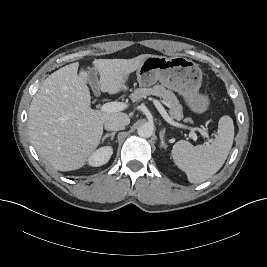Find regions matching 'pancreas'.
Listing matches in <instances>:
<instances>
[{
    "mask_svg": "<svg viewBox=\"0 0 267 267\" xmlns=\"http://www.w3.org/2000/svg\"><path fill=\"white\" fill-rule=\"evenodd\" d=\"M149 95L158 96L163 99L170 108L169 112L172 119H176L178 121L183 119L182 106L180 105L176 95L171 90H167L161 85H155L152 88H138L133 94H131V99L133 101H139ZM185 121L191 122V119L187 118Z\"/></svg>",
    "mask_w": 267,
    "mask_h": 267,
    "instance_id": "1",
    "label": "pancreas"
}]
</instances>
